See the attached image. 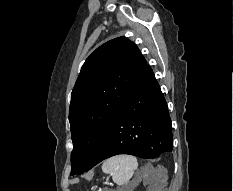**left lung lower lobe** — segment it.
<instances>
[{"mask_svg": "<svg viewBox=\"0 0 233 191\" xmlns=\"http://www.w3.org/2000/svg\"><path fill=\"white\" fill-rule=\"evenodd\" d=\"M172 150L171 119L166 100L151 67L146 65L101 145L79 174L114 155L129 154L150 159Z\"/></svg>", "mask_w": 233, "mask_h": 191, "instance_id": "left-lung-lower-lobe-1", "label": "left lung lower lobe"}]
</instances>
